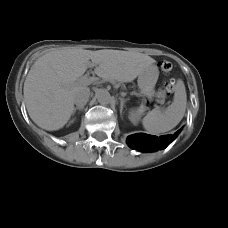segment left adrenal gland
Segmentation results:
<instances>
[{"mask_svg": "<svg viewBox=\"0 0 228 228\" xmlns=\"http://www.w3.org/2000/svg\"><path fill=\"white\" fill-rule=\"evenodd\" d=\"M125 99L120 98V114L122 115Z\"/></svg>", "mask_w": 228, "mask_h": 228, "instance_id": "1", "label": "left adrenal gland"}]
</instances>
